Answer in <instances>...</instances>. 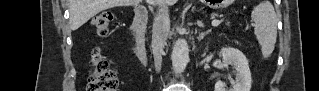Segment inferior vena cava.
Masks as SVG:
<instances>
[{
    "label": "inferior vena cava",
    "mask_w": 319,
    "mask_h": 91,
    "mask_svg": "<svg viewBox=\"0 0 319 91\" xmlns=\"http://www.w3.org/2000/svg\"><path fill=\"white\" fill-rule=\"evenodd\" d=\"M158 4L160 8L154 18L152 30V51L157 71L161 68L163 49L170 29L168 6L161 1Z\"/></svg>",
    "instance_id": "inferior-vena-cava-1"
}]
</instances>
